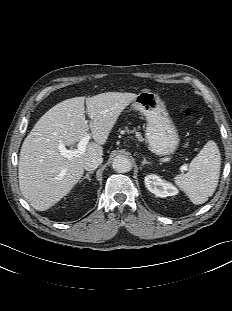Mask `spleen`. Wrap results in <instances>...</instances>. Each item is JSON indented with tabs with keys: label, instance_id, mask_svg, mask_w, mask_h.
I'll list each match as a JSON object with an SVG mask.
<instances>
[{
	"label": "spleen",
	"instance_id": "obj_1",
	"mask_svg": "<svg viewBox=\"0 0 232 311\" xmlns=\"http://www.w3.org/2000/svg\"><path fill=\"white\" fill-rule=\"evenodd\" d=\"M221 157L217 144L208 141L191 161L186 174L177 175L175 183L199 205L205 203L216 190L220 176Z\"/></svg>",
	"mask_w": 232,
	"mask_h": 311
}]
</instances>
